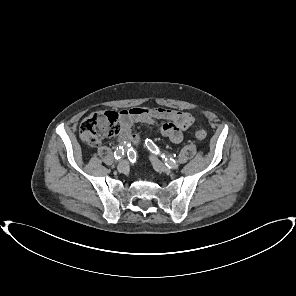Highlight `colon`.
I'll use <instances>...</instances> for the list:
<instances>
[{"label": "colon", "mask_w": 296, "mask_h": 296, "mask_svg": "<svg viewBox=\"0 0 296 296\" xmlns=\"http://www.w3.org/2000/svg\"><path fill=\"white\" fill-rule=\"evenodd\" d=\"M120 130V114L116 111L102 110L90 114L80 125V137L90 146H97L103 137L112 136ZM199 140L207 137L204 129L195 132Z\"/></svg>", "instance_id": "obj_1"}]
</instances>
